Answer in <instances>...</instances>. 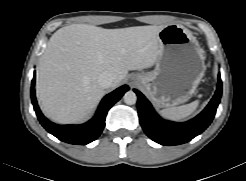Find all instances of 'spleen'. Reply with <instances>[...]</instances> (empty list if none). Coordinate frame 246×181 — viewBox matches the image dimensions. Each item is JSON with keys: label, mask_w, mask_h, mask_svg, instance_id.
<instances>
[{"label": "spleen", "mask_w": 246, "mask_h": 181, "mask_svg": "<svg viewBox=\"0 0 246 181\" xmlns=\"http://www.w3.org/2000/svg\"><path fill=\"white\" fill-rule=\"evenodd\" d=\"M199 101H193L189 104L168 107L161 111L162 115L171 120H181L190 116L198 107Z\"/></svg>", "instance_id": "1"}]
</instances>
